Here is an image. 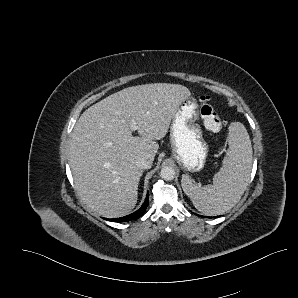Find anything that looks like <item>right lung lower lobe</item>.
Listing matches in <instances>:
<instances>
[{"instance_id": "right-lung-lower-lobe-1", "label": "right lung lower lobe", "mask_w": 298, "mask_h": 298, "mask_svg": "<svg viewBox=\"0 0 298 298\" xmlns=\"http://www.w3.org/2000/svg\"><path fill=\"white\" fill-rule=\"evenodd\" d=\"M148 204H149V194L147 195V197H146L144 203L142 204L141 208L139 210H137L136 212H134L130 215L121 217V218H115V219H109V220L114 221V222H125V221H130V220L137 219V218L141 217L144 214Z\"/></svg>"}]
</instances>
